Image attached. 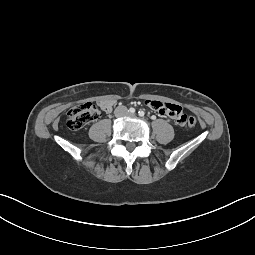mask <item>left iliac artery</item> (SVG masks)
I'll use <instances>...</instances> for the list:
<instances>
[{
  "mask_svg": "<svg viewBox=\"0 0 255 255\" xmlns=\"http://www.w3.org/2000/svg\"><path fill=\"white\" fill-rule=\"evenodd\" d=\"M138 114H139V116L143 117V116L145 115V112H144L143 110H140V111L138 112Z\"/></svg>",
  "mask_w": 255,
  "mask_h": 255,
  "instance_id": "1",
  "label": "left iliac artery"
}]
</instances>
